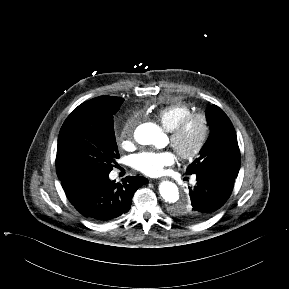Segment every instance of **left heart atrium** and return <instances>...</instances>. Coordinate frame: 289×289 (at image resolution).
I'll use <instances>...</instances> for the list:
<instances>
[{"label":"left heart atrium","instance_id":"39dd6f15","mask_svg":"<svg viewBox=\"0 0 289 289\" xmlns=\"http://www.w3.org/2000/svg\"><path fill=\"white\" fill-rule=\"evenodd\" d=\"M176 161V155L171 150L143 151L132 157L131 164L134 169L147 175L158 176L167 166Z\"/></svg>","mask_w":289,"mask_h":289}]
</instances>
